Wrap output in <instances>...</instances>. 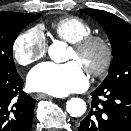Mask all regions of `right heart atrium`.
I'll return each mask as SVG.
<instances>
[{
	"mask_svg": "<svg viewBox=\"0 0 131 131\" xmlns=\"http://www.w3.org/2000/svg\"><path fill=\"white\" fill-rule=\"evenodd\" d=\"M46 50V38L39 26L22 32L15 38L12 44L14 59L21 66H29L39 61L45 56Z\"/></svg>",
	"mask_w": 131,
	"mask_h": 131,
	"instance_id": "obj_1",
	"label": "right heart atrium"
}]
</instances>
